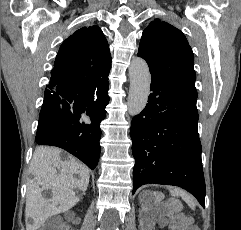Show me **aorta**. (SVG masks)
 Listing matches in <instances>:
<instances>
[{"mask_svg": "<svg viewBox=\"0 0 241 230\" xmlns=\"http://www.w3.org/2000/svg\"><path fill=\"white\" fill-rule=\"evenodd\" d=\"M129 78L128 112L135 116L140 114L147 104L151 83L148 65L142 58L132 59Z\"/></svg>", "mask_w": 241, "mask_h": 230, "instance_id": "obj_1", "label": "aorta"}]
</instances>
